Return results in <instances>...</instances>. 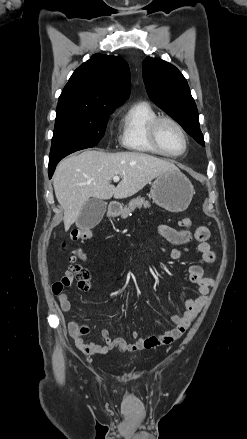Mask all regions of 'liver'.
Masks as SVG:
<instances>
[{
  "instance_id": "obj_1",
  "label": "liver",
  "mask_w": 247,
  "mask_h": 439,
  "mask_svg": "<svg viewBox=\"0 0 247 439\" xmlns=\"http://www.w3.org/2000/svg\"><path fill=\"white\" fill-rule=\"evenodd\" d=\"M171 170L179 169L171 162L138 152L86 150L63 159L56 167L53 186L64 211L65 230L78 219L90 198L130 197ZM114 176L122 178L116 187L110 182Z\"/></svg>"
}]
</instances>
